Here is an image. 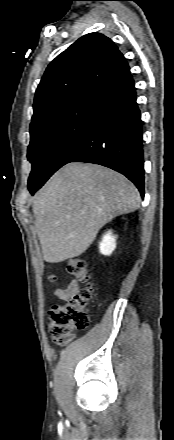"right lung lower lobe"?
Wrapping results in <instances>:
<instances>
[{
	"label": "right lung lower lobe",
	"instance_id": "right-lung-lower-lobe-1",
	"mask_svg": "<svg viewBox=\"0 0 174 440\" xmlns=\"http://www.w3.org/2000/svg\"><path fill=\"white\" fill-rule=\"evenodd\" d=\"M95 96L85 136L66 163L89 162L118 171L131 180L144 197L142 121L130 71L97 91ZM43 184L30 191L31 194Z\"/></svg>",
	"mask_w": 174,
	"mask_h": 440
}]
</instances>
